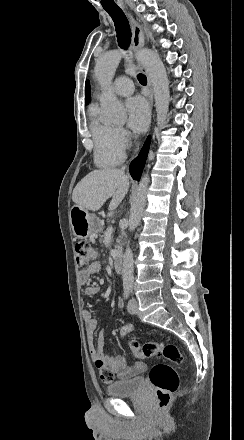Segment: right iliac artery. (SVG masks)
<instances>
[{
	"label": "right iliac artery",
	"instance_id": "right-iliac-artery-1",
	"mask_svg": "<svg viewBox=\"0 0 244 440\" xmlns=\"http://www.w3.org/2000/svg\"><path fill=\"white\" fill-rule=\"evenodd\" d=\"M129 294H130V289L128 287H126L124 289V299H128Z\"/></svg>",
	"mask_w": 244,
	"mask_h": 440
}]
</instances>
